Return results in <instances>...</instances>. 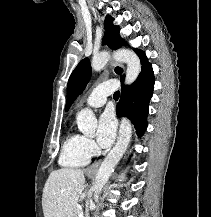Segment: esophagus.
Segmentation results:
<instances>
[{
	"label": "esophagus",
	"instance_id": "1",
	"mask_svg": "<svg viewBox=\"0 0 211 217\" xmlns=\"http://www.w3.org/2000/svg\"><path fill=\"white\" fill-rule=\"evenodd\" d=\"M111 65H112L113 67L120 66V64H118V63L115 62L114 60H112ZM100 164H101V160H99V161L93 163V164L89 167V170H90V171H95V170H97L98 167L100 166Z\"/></svg>",
	"mask_w": 211,
	"mask_h": 217
}]
</instances>
